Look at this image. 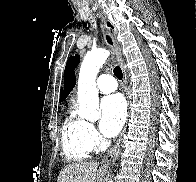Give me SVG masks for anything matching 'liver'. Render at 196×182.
Wrapping results in <instances>:
<instances>
[{
	"mask_svg": "<svg viewBox=\"0 0 196 182\" xmlns=\"http://www.w3.org/2000/svg\"><path fill=\"white\" fill-rule=\"evenodd\" d=\"M105 171L95 161L73 163L61 170L57 182H102Z\"/></svg>",
	"mask_w": 196,
	"mask_h": 182,
	"instance_id": "6515ba94",
	"label": "liver"
}]
</instances>
